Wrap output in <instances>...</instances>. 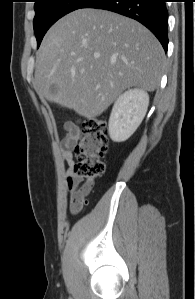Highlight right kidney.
I'll use <instances>...</instances> for the list:
<instances>
[{
  "label": "right kidney",
  "instance_id": "obj_1",
  "mask_svg": "<svg viewBox=\"0 0 195 299\" xmlns=\"http://www.w3.org/2000/svg\"><path fill=\"white\" fill-rule=\"evenodd\" d=\"M149 95L142 89H130L121 94L109 118V136L114 142L127 140L146 115Z\"/></svg>",
  "mask_w": 195,
  "mask_h": 299
}]
</instances>
